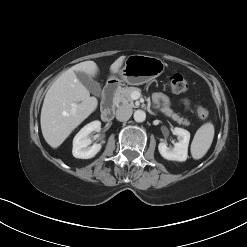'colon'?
Segmentation results:
<instances>
[{
  "label": "colon",
  "instance_id": "5ec220e1",
  "mask_svg": "<svg viewBox=\"0 0 247 247\" xmlns=\"http://www.w3.org/2000/svg\"><path fill=\"white\" fill-rule=\"evenodd\" d=\"M169 88L175 93L185 92L189 88V83L186 78L180 73L171 74L168 78ZM197 114L199 118L206 119L209 115V111L204 106L197 108Z\"/></svg>",
  "mask_w": 247,
  "mask_h": 247
}]
</instances>
